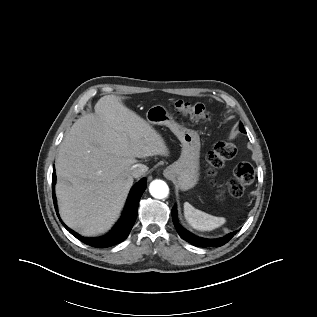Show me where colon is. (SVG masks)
I'll return each instance as SVG.
<instances>
[{
	"label": "colon",
	"instance_id": "obj_1",
	"mask_svg": "<svg viewBox=\"0 0 317 317\" xmlns=\"http://www.w3.org/2000/svg\"><path fill=\"white\" fill-rule=\"evenodd\" d=\"M175 109L178 114L188 116L196 122L210 120V115L205 106L200 103H189L179 100L175 104ZM236 146L232 142L221 141L217 143L212 152L207 158L208 167L206 170L207 176L213 180L216 172L226 162L232 160L236 155ZM254 180V170L252 166L246 162H240L234 169L233 178L227 183L226 188H218L217 196L222 197L225 194L231 197H241L246 186L250 185ZM213 185H216L213 183Z\"/></svg>",
	"mask_w": 317,
	"mask_h": 317
}]
</instances>
